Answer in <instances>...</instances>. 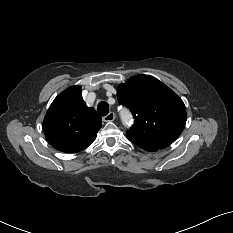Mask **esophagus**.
I'll list each match as a JSON object with an SVG mask.
<instances>
[{
    "mask_svg": "<svg viewBox=\"0 0 233 233\" xmlns=\"http://www.w3.org/2000/svg\"><path fill=\"white\" fill-rule=\"evenodd\" d=\"M115 120V113L109 112L106 116L103 117L104 122H111Z\"/></svg>",
    "mask_w": 233,
    "mask_h": 233,
    "instance_id": "esophagus-1",
    "label": "esophagus"
}]
</instances>
